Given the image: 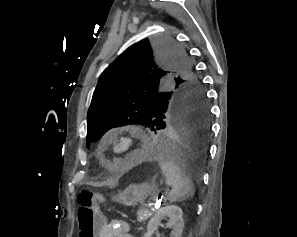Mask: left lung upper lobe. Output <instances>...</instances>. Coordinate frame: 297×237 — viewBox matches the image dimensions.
<instances>
[{
    "instance_id": "5c2ea615",
    "label": "left lung upper lobe",
    "mask_w": 297,
    "mask_h": 237,
    "mask_svg": "<svg viewBox=\"0 0 297 237\" xmlns=\"http://www.w3.org/2000/svg\"><path fill=\"white\" fill-rule=\"evenodd\" d=\"M206 98L183 48L168 37L143 39L101 74L87 114V147L126 124L155 132L174 103Z\"/></svg>"
}]
</instances>
